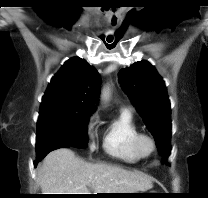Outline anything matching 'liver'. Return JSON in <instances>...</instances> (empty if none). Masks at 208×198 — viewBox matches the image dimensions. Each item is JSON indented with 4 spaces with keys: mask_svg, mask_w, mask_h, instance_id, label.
I'll use <instances>...</instances> for the list:
<instances>
[{
    "mask_svg": "<svg viewBox=\"0 0 208 198\" xmlns=\"http://www.w3.org/2000/svg\"><path fill=\"white\" fill-rule=\"evenodd\" d=\"M37 181L42 194L134 193L153 187L151 180L141 173L88 163L65 148L46 156L37 171Z\"/></svg>",
    "mask_w": 208,
    "mask_h": 198,
    "instance_id": "6515ba94",
    "label": "liver"
}]
</instances>
